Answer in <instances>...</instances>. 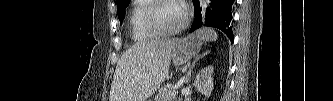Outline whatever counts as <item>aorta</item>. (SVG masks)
<instances>
[{"mask_svg": "<svg viewBox=\"0 0 333 101\" xmlns=\"http://www.w3.org/2000/svg\"><path fill=\"white\" fill-rule=\"evenodd\" d=\"M208 4H209V0H202L201 1L202 8H205L206 6H208Z\"/></svg>", "mask_w": 333, "mask_h": 101, "instance_id": "aorta-1", "label": "aorta"}]
</instances>
